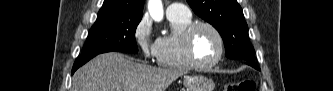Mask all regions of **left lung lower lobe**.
<instances>
[{
    "instance_id": "obj_1",
    "label": "left lung lower lobe",
    "mask_w": 333,
    "mask_h": 91,
    "mask_svg": "<svg viewBox=\"0 0 333 91\" xmlns=\"http://www.w3.org/2000/svg\"><path fill=\"white\" fill-rule=\"evenodd\" d=\"M246 63H247L248 65H250V66H252V67L258 69V67H257L254 63H252V62H246Z\"/></svg>"
}]
</instances>
